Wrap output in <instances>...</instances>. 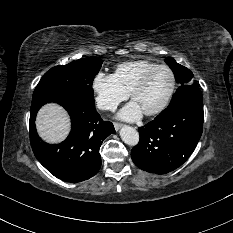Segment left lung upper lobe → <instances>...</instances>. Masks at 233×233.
<instances>
[{"label":"left lung upper lobe","mask_w":233,"mask_h":233,"mask_svg":"<svg viewBox=\"0 0 233 233\" xmlns=\"http://www.w3.org/2000/svg\"><path fill=\"white\" fill-rule=\"evenodd\" d=\"M165 62L172 69L176 81L180 83V87L176 90L175 94L173 95L169 106L165 110H163L159 115H164L168 113L175 104L182 101L189 95L200 92L198 86L192 83L191 79L193 78V73L188 68L178 64L172 58H166Z\"/></svg>","instance_id":"obj_1"}]
</instances>
